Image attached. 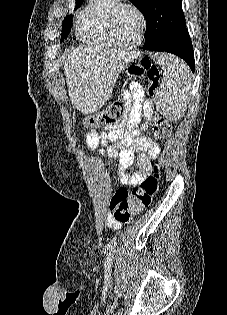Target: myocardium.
Here are the masks:
<instances>
[{"label": "myocardium", "mask_w": 227, "mask_h": 315, "mask_svg": "<svg viewBox=\"0 0 227 315\" xmlns=\"http://www.w3.org/2000/svg\"><path fill=\"white\" fill-rule=\"evenodd\" d=\"M125 8H129V9H132L133 11H135L136 14L138 15L139 19H140V34H139V38L132 45H124V44H121L120 42H118L117 39H116V36H115V32H114V26H115V22L117 20V17L120 14V12L123 9H125ZM146 28H147V19H146V16H145L144 12L138 6H136L133 3L119 2L118 4H116L113 7V9L111 10V12L109 14L108 22H107L108 37H109L111 43L114 46H117L119 48L135 49V48L139 47L142 44V42L144 41Z\"/></svg>", "instance_id": "f54148a6"}]
</instances>
